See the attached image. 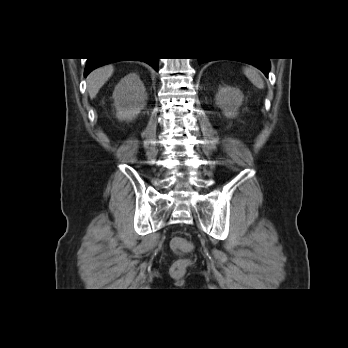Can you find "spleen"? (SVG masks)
<instances>
[{
	"instance_id": "spleen-1",
	"label": "spleen",
	"mask_w": 348,
	"mask_h": 348,
	"mask_svg": "<svg viewBox=\"0 0 348 348\" xmlns=\"http://www.w3.org/2000/svg\"><path fill=\"white\" fill-rule=\"evenodd\" d=\"M243 71L254 86L258 89H264V81L254 67H244Z\"/></svg>"
}]
</instances>
